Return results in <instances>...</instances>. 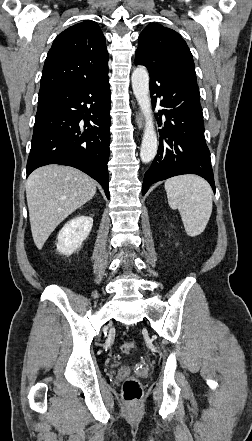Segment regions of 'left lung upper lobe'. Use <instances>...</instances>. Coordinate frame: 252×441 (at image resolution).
<instances>
[{
    "label": "left lung upper lobe",
    "instance_id": "left-lung-upper-lobe-1",
    "mask_svg": "<svg viewBox=\"0 0 252 441\" xmlns=\"http://www.w3.org/2000/svg\"><path fill=\"white\" fill-rule=\"evenodd\" d=\"M135 64L144 65L149 71L171 65L183 68L195 79L192 54L183 38L174 30L152 23L140 34Z\"/></svg>",
    "mask_w": 252,
    "mask_h": 441
}]
</instances>
